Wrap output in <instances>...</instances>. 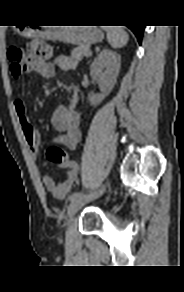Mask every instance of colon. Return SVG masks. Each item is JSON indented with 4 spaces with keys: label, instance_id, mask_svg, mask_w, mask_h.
I'll use <instances>...</instances> for the list:
<instances>
[{
    "label": "colon",
    "instance_id": "5ec220e1",
    "mask_svg": "<svg viewBox=\"0 0 184 292\" xmlns=\"http://www.w3.org/2000/svg\"><path fill=\"white\" fill-rule=\"evenodd\" d=\"M8 58L11 63V73L15 78L21 77L33 67L46 62L51 55L49 45L42 41H33L24 49L12 46L8 49ZM47 159L54 164L63 165L71 161L68 153L57 145L50 146L46 151Z\"/></svg>",
    "mask_w": 184,
    "mask_h": 292
}]
</instances>
